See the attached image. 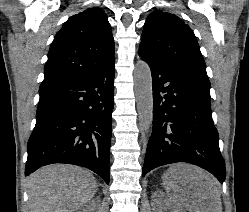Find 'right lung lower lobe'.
<instances>
[{
	"label": "right lung lower lobe",
	"instance_id": "98d812e1",
	"mask_svg": "<svg viewBox=\"0 0 249 212\" xmlns=\"http://www.w3.org/2000/svg\"><path fill=\"white\" fill-rule=\"evenodd\" d=\"M114 62L97 73L39 91L25 175L52 163L86 167L109 183Z\"/></svg>",
	"mask_w": 249,
	"mask_h": 212
}]
</instances>
